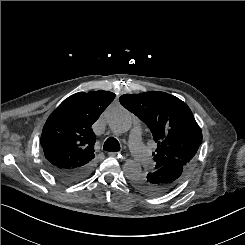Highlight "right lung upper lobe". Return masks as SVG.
<instances>
[{
  "label": "right lung upper lobe",
  "mask_w": 245,
  "mask_h": 245,
  "mask_svg": "<svg viewBox=\"0 0 245 245\" xmlns=\"http://www.w3.org/2000/svg\"><path fill=\"white\" fill-rule=\"evenodd\" d=\"M114 98L109 91H92L65 99L42 130L40 141L46 164L64 169L91 164L96 141L91 126Z\"/></svg>",
  "instance_id": "obj_1"
}]
</instances>
